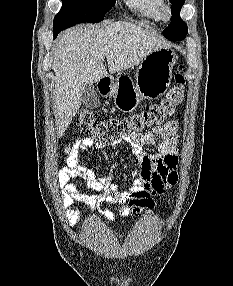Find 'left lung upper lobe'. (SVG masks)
I'll list each match as a JSON object with an SVG mask.
<instances>
[{
	"label": "left lung upper lobe",
	"mask_w": 233,
	"mask_h": 286,
	"mask_svg": "<svg viewBox=\"0 0 233 286\" xmlns=\"http://www.w3.org/2000/svg\"><path fill=\"white\" fill-rule=\"evenodd\" d=\"M172 6V16L171 23L163 31V35L172 41L183 40L187 35V25L184 23L180 17V10L185 2V0H170Z\"/></svg>",
	"instance_id": "5c2ea615"
}]
</instances>
